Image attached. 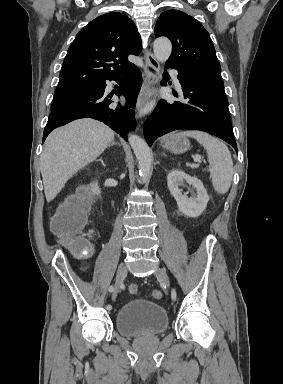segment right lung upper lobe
<instances>
[{"instance_id":"1","label":"right lung upper lobe","mask_w":283,"mask_h":384,"mask_svg":"<svg viewBox=\"0 0 283 384\" xmlns=\"http://www.w3.org/2000/svg\"><path fill=\"white\" fill-rule=\"evenodd\" d=\"M141 38L124 13H107L79 31L64 59L56 90L92 87L118 79L136 66L129 54L141 52Z\"/></svg>"}]
</instances>
